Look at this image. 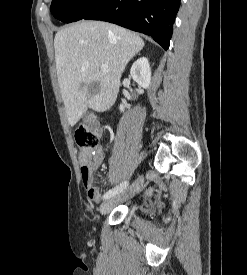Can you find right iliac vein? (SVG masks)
Masks as SVG:
<instances>
[{"instance_id": "63e3f726", "label": "right iliac vein", "mask_w": 247, "mask_h": 275, "mask_svg": "<svg viewBox=\"0 0 247 275\" xmlns=\"http://www.w3.org/2000/svg\"><path fill=\"white\" fill-rule=\"evenodd\" d=\"M143 182V176H139L128 188L105 200L100 206V213L106 214L119 202L126 201L127 199L133 197L141 189Z\"/></svg>"}]
</instances>
